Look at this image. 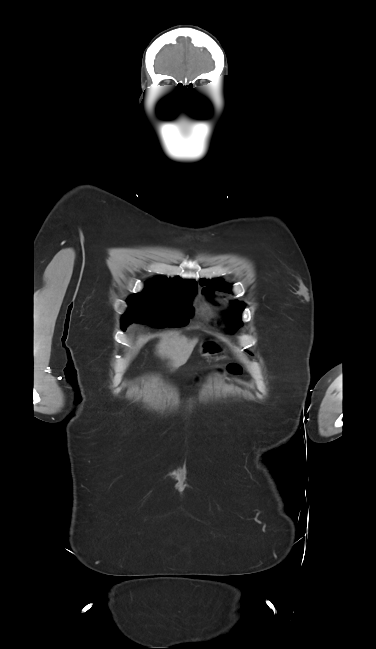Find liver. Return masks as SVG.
<instances>
[{
    "mask_svg": "<svg viewBox=\"0 0 376 649\" xmlns=\"http://www.w3.org/2000/svg\"><path fill=\"white\" fill-rule=\"evenodd\" d=\"M197 342V338L189 340L172 332L165 333L157 345V353L161 358L169 359L171 367L175 370L187 362Z\"/></svg>",
    "mask_w": 376,
    "mask_h": 649,
    "instance_id": "6515ba94",
    "label": "liver"
}]
</instances>
